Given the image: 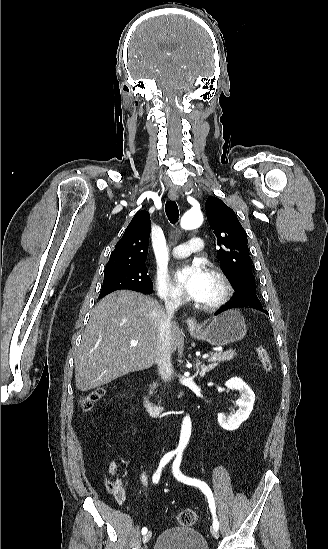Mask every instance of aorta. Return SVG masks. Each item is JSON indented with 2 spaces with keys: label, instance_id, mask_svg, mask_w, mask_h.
<instances>
[{
  "label": "aorta",
  "instance_id": "aorta-1",
  "mask_svg": "<svg viewBox=\"0 0 328 549\" xmlns=\"http://www.w3.org/2000/svg\"><path fill=\"white\" fill-rule=\"evenodd\" d=\"M203 222V215L200 211L189 210L181 218L180 226L185 230L196 229L201 226ZM191 434V420L189 416H185L182 422L181 435L178 445V450H183L190 438Z\"/></svg>",
  "mask_w": 328,
  "mask_h": 549
}]
</instances>
